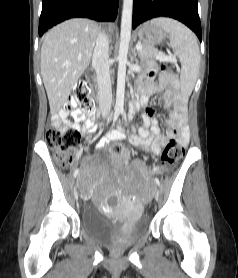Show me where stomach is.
Instances as JSON below:
<instances>
[{
	"label": "stomach",
	"instance_id": "obj_1",
	"mask_svg": "<svg viewBox=\"0 0 238 278\" xmlns=\"http://www.w3.org/2000/svg\"><path fill=\"white\" fill-rule=\"evenodd\" d=\"M137 34L140 41L153 47L161 44L167 37V32L153 22H147L141 25L137 30Z\"/></svg>",
	"mask_w": 238,
	"mask_h": 278
}]
</instances>
